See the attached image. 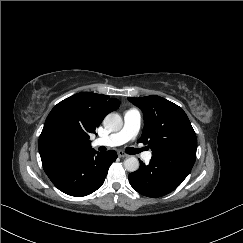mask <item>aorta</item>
<instances>
[{"label": "aorta", "mask_w": 243, "mask_h": 243, "mask_svg": "<svg viewBox=\"0 0 243 243\" xmlns=\"http://www.w3.org/2000/svg\"><path fill=\"white\" fill-rule=\"evenodd\" d=\"M103 125L109 132H117L123 126L122 118L117 113H109L103 121ZM124 167L129 172H135L139 168V161L136 157L131 156L124 161Z\"/></svg>", "instance_id": "aorta-1"}]
</instances>
